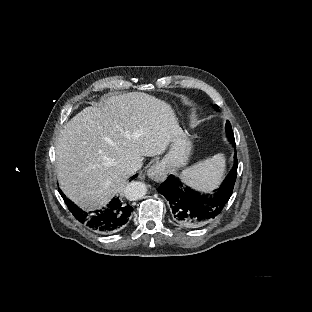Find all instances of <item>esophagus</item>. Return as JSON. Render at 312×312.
<instances>
[{
  "instance_id": "1",
  "label": "esophagus",
  "mask_w": 312,
  "mask_h": 312,
  "mask_svg": "<svg viewBox=\"0 0 312 312\" xmlns=\"http://www.w3.org/2000/svg\"><path fill=\"white\" fill-rule=\"evenodd\" d=\"M147 176L155 182H161L166 178L167 174L163 165L158 163L147 170Z\"/></svg>"
}]
</instances>
